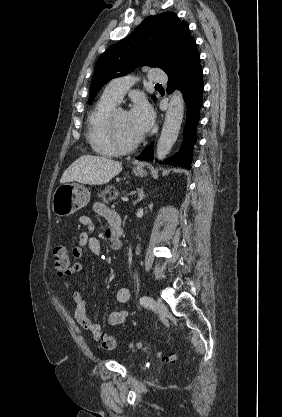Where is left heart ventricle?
<instances>
[{
    "mask_svg": "<svg viewBox=\"0 0 282 417\" xmlns=\"http://www.w3.org/2000/svg\"><path fill=\"white\" fill-rule=\"evenodd\" d=\"M101 128L104 134L109 136V127L106 120L102 122ZM116 130L118 136L124 142H133L141 135L133 126L130 114L128 113H120L117 116Z\"/></svg>",
    "mask_w": 282,
    "mask_h": 417,
    "instance_id": "left-heart-ventricle-1",
    "label": "left heart ventricle"
}]
</instances>
